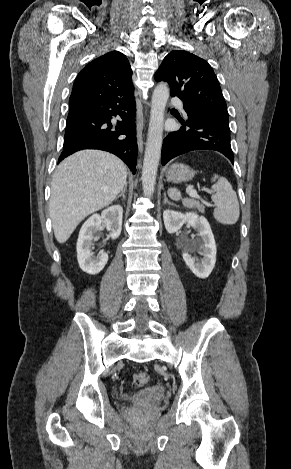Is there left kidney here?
Listing matches in <instances>:
<instances>
[{
  "label": "left kidney",
  "mask_w": 291,
  "mask_h": 469,
  "mask_svg": "<svg viewBox=\"0 0 291 469\" xmlns=\"http://www.w3.org/2000/svg\"><path fill=\"white\" fill-rule=\"evenodd\" d=\"M163 219L165 228L170 234L179 231L185 222H188L198 232L199 239L195 240L188 248V252H184L182 256L186 265L198 278H207L215 266L217 250L213 233L206 218L193 212L184 214L165 210ZM193 250H197L203 256L201 262L189 254Z\"/></svg>",
  "instance_id": "1"
}]
</instances>
